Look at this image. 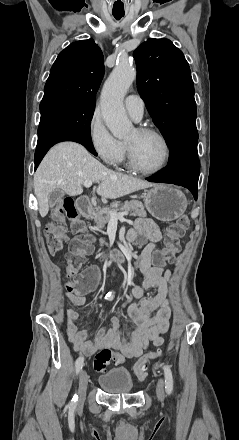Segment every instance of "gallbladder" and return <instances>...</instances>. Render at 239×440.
<instances>
[{
    "instance_id": "gallbladder-1",
    "label": "gallbladder",
    "mask_w": 239,
    "mask_h": 440,
    "mask_svg": "<svg viewBox=\"0 0 239 440\" xmlns=\"http://www.w3.org/2000/svg\"><path fill=\"white\" fill-rule=\"evenodd\" d=\"M64 196V192H62V190H53V192H50V194H48V204H49V208H54V206H56L57 202H59V200H62Z\"/></svg>"
}]
</instances>
